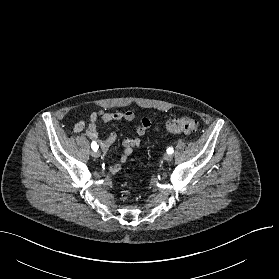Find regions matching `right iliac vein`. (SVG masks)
<instances>
[{
	"label": "right iliac vein",
	"mask_w": 279,
	"mask_h": 279,
	"mask_svg": "<svg viewBox=\"0 0 279 279\" xmlns=\"http://www.w3.org/2000/svg\"><path fill=\"white\" fill-rule=\"evenodd\" d=\"M91 155L94 157V158H99L100 157V152L99 151H93L91 153Z\"/></svg>",
	"instance_id": "right-iliac-vein-1"
}]
</instances>
